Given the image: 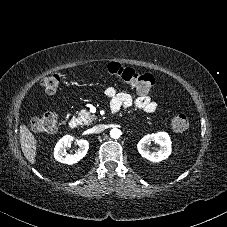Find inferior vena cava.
Returning a JSON list of instances; mask_svg holds the SVG:
<instances>
[{"instance_id":"602c4592","label":"inferior vena cava","mask_w":227,"mask_h":227,"mask_svg":"<svg viewBox=\"0 0 227 227\" xmlns=\"http://www.w3.org/2000/svg\"><path fill=\"white\" fill-rule=\"evenodd\" d=\"M104 130H105V125H103V124L96 125L92 128V131L94 133H101Z\"/></svg>"}]
</instances>
